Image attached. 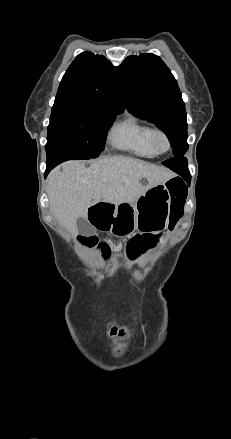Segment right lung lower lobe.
Here are the masks:
<instances>
[{
    "label": "right lung lower lobe",
    "mask_w": 231,
    "mask_h": 439,
    "mask_svg": "<svg viewBox=\"0 0 231 439\" xmlns=\"http://www.w3.org/2000/svg\"><path fill=\"white\" fill-rule=\"evenodd\" d=\"M57 164H59V163H57V162H47V168H46V171H45V177L48 175V173L50 172V170H51L53 167H55Z\"/></svg>",
    "instance_id": "right-lung-lower-lobe-1"
}]
</instances>
